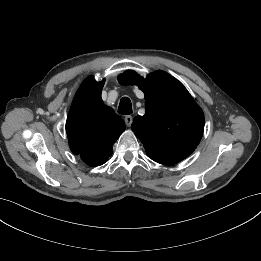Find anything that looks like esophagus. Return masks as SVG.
I'll return each mask as SVG.
<instances>
[{
  "instance_id": "1",
  "label": "esophagus",
  "mask_w": 261,
  "mask_h": 261,
  "mask_svg": "<svg viewBox=\"0 0 261 261\" xmlns=\"http://www.w3.org/2000/svg\"><path fill=\"white\" fill-rule=\"evenodd\" d=\"M132 121H133V117L130 115H128L124 118V122H125L126 126H128V127L131 125Z\"/></svg>"
}]
</instances>
